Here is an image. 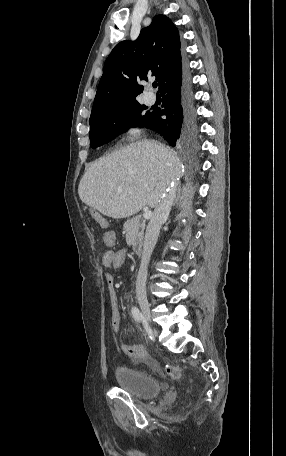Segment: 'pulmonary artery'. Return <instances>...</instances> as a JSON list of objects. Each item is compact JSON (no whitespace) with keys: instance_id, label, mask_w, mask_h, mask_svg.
Returning a JSON list of instances; mask_svg holds the SVG:
<instances>
[{"instance_id":"1","label":"pulmonary artery","mask_w":286,"mask_h":456,"mask_svg":"<svg viewBox=\"0 0 286 456\" xmlns=\"http://www.w3.org/2000/svg\"><path fill=\"white\" fill-rule=\"evenodd\" d=\"M145 101L147 104L152 105L156 101V96L153 93H147L145 96Z\"/></svg>"}]
</instances>
